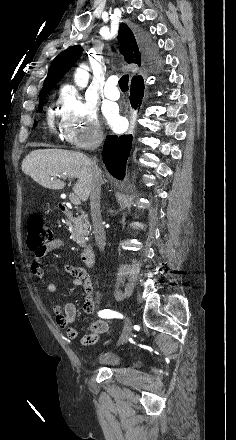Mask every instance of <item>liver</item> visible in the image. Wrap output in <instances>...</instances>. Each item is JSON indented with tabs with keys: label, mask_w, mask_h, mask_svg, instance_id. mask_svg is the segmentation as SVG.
Returning a JSON list of instances; mask_svg holds the SVG:
<instances>
[{
	"label": "liver",
	"mask_w": 236,
	"mask_h": 440,
	"mask_svg": "<svg viewBox=\"0 0 236 440\" xmlns=\"http://www.w3.org/2000/svg\"><path fill=\"white\" fill-rule=\"evenodd\" d=\"M21 167L36 183L53 190L65 187L61 178H77L74 193L84 202L90 196L94 178L93 163L83 153L60 149L33 150L25 157Z\"/></svg>",
	"instance_id": "1"
}]
</instances>
